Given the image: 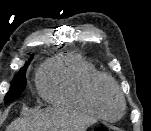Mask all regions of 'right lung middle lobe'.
I'll return each instance as SVG.
<instances>
[{
  "label": "right lung middle lobe",
  "instance_id": "obj_1",
  "mask_svg": "<svg viewBox=\"0 0 151 131\" xmlns=\"http://www.w3.org/2000/svg\"><path fill=\"white\" fill-rule=\"evenodd\" d=\"M32 59L29 60V62H27L24 67H22L18 74L15 75V77L13 78L12 82H11V87L10 90L7 92L5 98H4V102L8 103L13 101L14 99H16L21 92L25 89L26 87V80H25V76H26V69L30 63Z\"/></svg>",
  "mask_w": 151,
  "mask_h": 131
}]
</instances>
